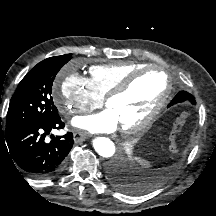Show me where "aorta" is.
Wrapping results in <instances>:
<instances>
[{
	"label": "aorta",
	"mask_w": 216,
	"mask_h": 216,
	"mask_svg": "<svg viewBox=\"0 0 216 216\" xmlns=\"http://www.w3.org/2000/svg\"><path fill=\"white\" fill-rule=\"evenodd\" d=\"M95 151L102 157L109 158L115 154V144L106 137H97L93 140Z\"/></svg>",
	"instance_id": "1"
}]
</instances>
